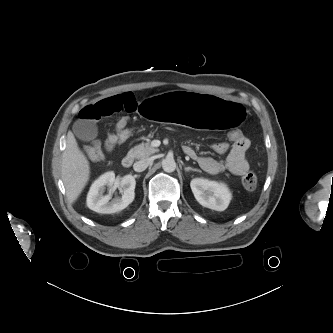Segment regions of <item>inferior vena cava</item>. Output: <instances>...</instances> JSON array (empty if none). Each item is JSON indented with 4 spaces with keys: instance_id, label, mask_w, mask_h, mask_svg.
Instances as JSON below:
<instances>
[{
    "instance_id": "1",
    "label": "inferior vena cava",
    "mask_w": 333,
    "mask_h": 333,
    "mask_svg": "<svg viewBox=\"0 0 333 333\" xmlns=\"http://www.w3.org/2000/svg\"><path fill=\"white\" fill-rule=\"evenodd\" d=\"M151 164V159L147 158V159H142L140 161H137L134 163L133 165V169L136 172H142L144 171L149 165Z\"/></svg>"
}]
</instances>
